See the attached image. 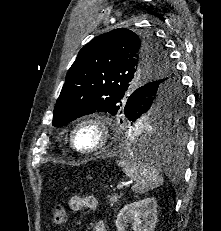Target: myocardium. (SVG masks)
Returning a JSON list of instances; mask_svg holds the SVG:
<instances>
[{
  "instance_id": "1",
  "label": "myocardium",
  "mask_w": 221,
  "mask_h": 231,
  "mask_svg": "<svg viewBox=\"0 0 221 231\" xmlns=\"http://www.w3.org/2000/svg\"><path fill=\"white\" fill-rule=\"evenodd\" d=\"M85 125L96 126L100 133V139L98 144L91 149H82L76 143V134L78 130ZM110 139H111V130H110V124L108 119L102 115L94 114L80 119L74 125L70 135V144L76 152L82 155H91L105 149L109 145Z\"/></svg>"
}]
</instances>
